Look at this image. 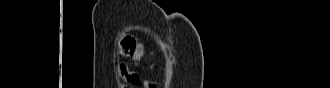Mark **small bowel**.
Returning a JSON list of instances; mask_svg holds the SVG:
<instances>
[{"label":"small bowel","instance_id":"1","mask_svg":"<svg viewBox=\"0 0 330 88\" xmlns=\"http://www.w3.org/2000/svg\"><path fill=\"white\" fill-rule=\"evenodd\" d=\"M143 52V47L135 42V49L132 52V58L136 65H138ZM117 72L128 86H137L141 81L139 73L129 69L125 64L118 65Z\"/></svg>","mask_w":330,"mask_h":88}]
</instances>
